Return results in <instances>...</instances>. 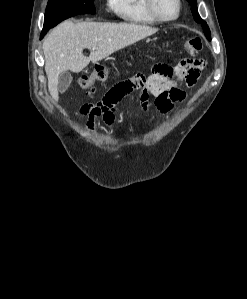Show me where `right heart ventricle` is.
I'll use <instances>...</instances> for the list:
<instances>
[{
  "mask_svg": "<svg viewBox=\"0 0 247 299\" xmlns=\"http://www.w3.org/2000/svg\"><path fill=\"white\" fill-rule=\"evenodd\" d=\"M110 10L121 20L131 24L154 25L146 0H108Z\"/></svg>",
  "mask_w": 247,
  "mask_h": 299,
  "instance_id": "right-heart-ventricle-1",
  "label": "right heart ventricle"
}]
</instances>
